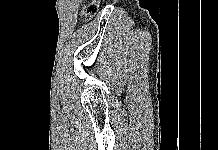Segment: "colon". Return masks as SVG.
<instances>
[{"instance_id":"colon-1","label":"colon","mask_w":218,"mask_h":150,"mask_svg":"<svg viewBox=\"0 0 218 150\" xmlns=\"http://www.w3.org/2000/svg\"><path fill=\"white\" fill-rule=\"evenodd\" d=\"M98 6V1H93L84 7L83 16L86 21H89L93 18L98 10Z\"/></svg>"}]
</instances>
